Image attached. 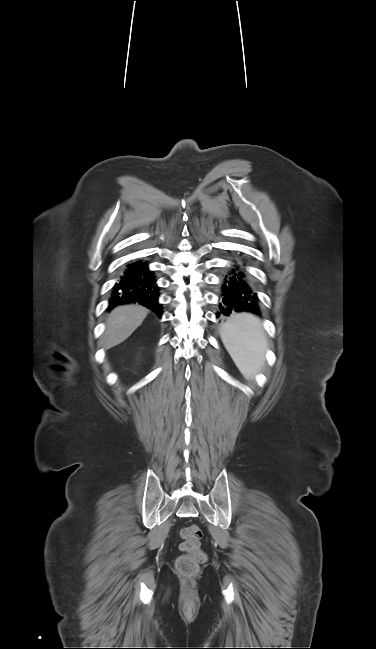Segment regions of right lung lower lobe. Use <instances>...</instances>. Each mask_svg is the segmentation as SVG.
I'll return each instance as SVG.
<instances>
[{
  "label": "right lung lower lobe",
  "instance_id": "right-lung-lower-lobe-1",
  "mask_svg": "<svg viewBox=\"0 0 376 649\" xmlns=\"http://www.w3.org/2000/svg\"><path fill=\"white\" fill-rule=\"evenodd\" d=\"M130 303H139L153 310L159 317L162 315L155 277L148 269V264L142 261L127 265L120 281L113 287L108 310Z\"/></svg>",
  "mask_w": 376,
  "mask_h": 649
}]
</instances>
